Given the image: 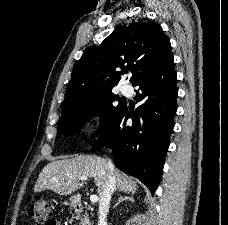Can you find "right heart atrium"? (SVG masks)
Segmentation results:
<instances>
[{
	"instance_id": "obj_1",
	"label": "right heart atrium",
	"mask_w": 228,
	"mask_h": 225,
	"mask_svg": "<svg viewBox=\"0 0 228 225\" xmlns=\"http://www.w3.org/2000/svg\"><path fill=\"white\" fill-rule=\"evenodd\" d=\"M105 125L103 114L99 110L90 112L85 118V126L90 132H100Z\"/></svg>"
}]
</instances>
